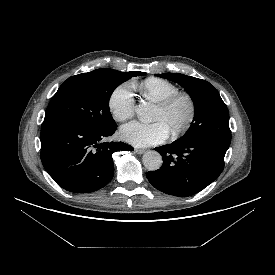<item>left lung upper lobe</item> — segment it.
I'll return each instance as SVG.
<instances>
[{
    "mask_svg": "<svg viewBox=\"0 0 275 275\" xmlns=\"http://www.w3.org/2000/svg\"><path fill=\"white\" fill-rule=\"evenodd\" d=\"M155 75L180 84L194 101L193 124L178 140H205L230 144L229 112L213 85L205 80L179 73Z\"/></svg>",
    "mask_w": 275,
    "mask_h": 275,
    "instance_id": "left-lung-upper-lobe-1",
    "label": "left lung upper lobe"
}]
</instances>
